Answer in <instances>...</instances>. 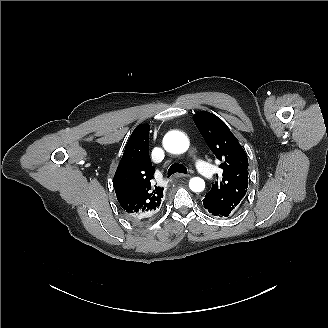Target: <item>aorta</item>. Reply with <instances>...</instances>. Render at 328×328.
Masks as SVG:
<instances>
[{"label":"aorta","instance_id":"aorta-1","mask_svg":"<svg viewBox=\"0 0 328 328\" xmlns=\"http://www.w3.org/2000/svg\"><path fill=\"white\" fill-rule=\"evenodd\" d=\"M163 145L167 151L181 154L188 150L189 140L187 136L180 131H170L165 135ZM189 188L193 192H201L205 189V182L199 177H193L189 181Z\"/></svg>","mask_w":328,"mask_h":328}]
</instances>
